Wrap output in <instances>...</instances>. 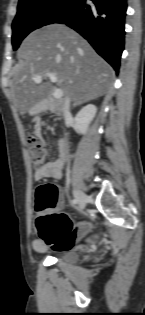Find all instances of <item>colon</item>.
Returning <instances> with one entry per match:
<instances>
[{"label":"colon","mask_w":145,"mask_h":315,"mask_svg":"<svg viewBox=\"0 0 145 315\" xmlns=\"http://www.w3.org/2000/svg\"><path fill=\"white\" fill-rule=\"evenodd\" d=\"M27 145L33 164L40 167L45 159L42 138L37 133L30 132L27 135ZM35 197L36 229L46 245L57 250L72 248L76 240L89 230L88 224L75 225L59 210L61 190L56 184L46 183L38 186Z\"/></svg>","instance_id":"1"}]
</instances>
